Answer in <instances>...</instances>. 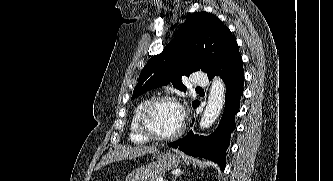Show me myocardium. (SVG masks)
I'll list each match as a JSON object with an SVG mask.
<instances>
[{
	"label": "myocardium",
	"instance_id": "f54148a6",
	"mask_svg": "<svg viewBox=\"0 0 333 181\" xmlns=\"http://www.w3.org/2000/svg\"><path fill=\"white\" fill-rule=\"evenodd\" d=\"M161 102H171L178 105L181 108L179 101L170 95H160L152 97L147 100V102L142 107L139 117H138V128L139 131L149 140L153 141H169L179 137L184 131V124L182 122L181 126L173 133L167 135H160L155 133L149 125L148 117L153 110V108Z\"/></svg>",
	"mask_w": 333,
	"mask_h": 181
}]
</instances>
